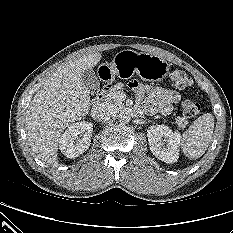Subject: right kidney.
<instances>
[{
  "instance_id": "right-kidney-1",
  "label": "right kidney",
  "mask_w": 233,
  "mask_h": 233,
  "mask_svg": "<svg viewBox=\"0 0 233 233\" xmlns=\"http://www.w3.org/2000/svg\"><path fill=\"white\" fill-rule=\"evenodd\" d=\"M93 125L77 122L66 129L59 139V147L67 158H76L86 151L91 143Z\"/></svg>"
}]
</instances>
